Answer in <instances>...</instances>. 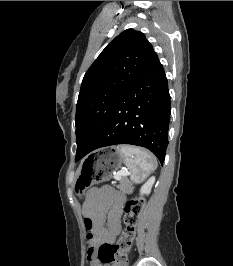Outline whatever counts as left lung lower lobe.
I'll list each match as a JSON object with an SVG mask.
<instances>
[{"label":"left lung lower lobe","mask_w":233,"mask_h":266,"mask_svg":"<svg viewBox=\"0 0 233 266\" xmlns=\"http://www.w3.org/2000/svg\"><path fill=\"white\" fill-rule=\"evenodd\" d=\"M170 113L167 78L154 52L80 159L101 147L132 144L149 149L163 164Z\"/></svg>","instance_id":"0a47b994"}]
</instances>
